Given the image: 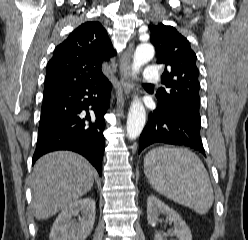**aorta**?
Returning <instances> with one entry per match:
<instances>
[{
	"instance_id": "obj_1",
	"label": "aorta",
	"mask_w": 248,
	"mask_h": 240,
	"mask_svg": "<svg viewBox=\"0 0 248 240\" xmlns=\"http://www.w3.org/2000/svg\"><path fill=\"white\" fill-rule=\"evenodd\" d=\"M154 56V48L151 44H140L134 53L132 64L133 75H136L141 68L149 62ZM146 121V112L141 101L135 97L133 100L127 118V135L129 139H136L142 132Z\"/></svg>"
}]
</instances>
